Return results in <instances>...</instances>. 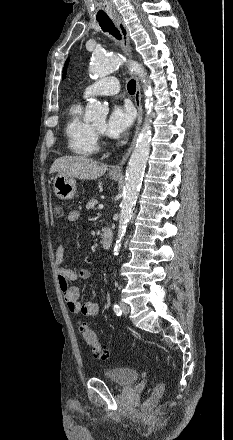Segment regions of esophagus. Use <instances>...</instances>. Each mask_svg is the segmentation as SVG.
<instances>
[{
  "label": "esophagus",
  "mask_w": 233,
  "mask_h": 440,
  "mask_svg": "<svg viewBox=\"0 0 233 440\" xmlns=\"http://www.w3.org/2000/svg\"><path fill=\"white\" fill-rule=\"evenodd\" d=\"M113 21L122 36L123 52L126 55V57L128 58V60L130 61L132 59V47H131L128 29H127L123 19L120 16H115L113 18ZM135 80H136V92H135V96H134V102H135V106L137 107V110H138L137 125H136V129H135L134 138H133V141H132L129 149L123 155L120 162L118 164L112 166V168L110 170L111 173H115V174H122V167L125 164V162L127 161L128 157L134 147L138 132L140 130L141 122H142L143 109H142V104H141V87H140L139 79L136 75H135Z\"/></svg>",
  "instance_id": "34e87169"
}]
</instances>
